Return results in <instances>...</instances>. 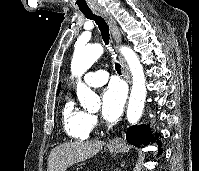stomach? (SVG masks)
<instances>
[{"mask_svg": "<svg viewBox=\"0 0 199 171\" xmlns=\"http://www.w3.org/2000/svg\"><path fill=\"white\" fill-rule=\"evenodd\" d=\"M109 150L111 152L118 153V152H120L122 150V148L120 146H117V147H111V146H109Z\"/></svg>", "mask_w": 199, "mask_h": 171, "instance_id": "0dacf381", "label": "stomach"}]
</instances>
